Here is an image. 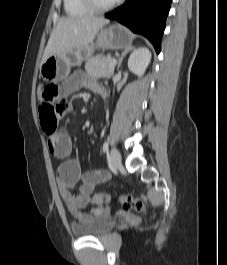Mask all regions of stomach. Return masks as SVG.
<instances>
[{"mask_svg":"<svg viewBox=\"0 0 227 265\" xmlns=\"http://www.w3.org/2000/svg\"><path fill=\"white\" fill-rule=\"evenodd\" d=\"M130 32L119 24L101 28L95 43L69 50L60 55L49 57L40 67L41 77L49 82H57L68 77L72 67L79 66L88 60L96 48L124 49L130 48Z\"/></svg>","mask_w":227,"mask_h":265,"instance_id":"0dacf381","label":"stomach"}]
</instances>
